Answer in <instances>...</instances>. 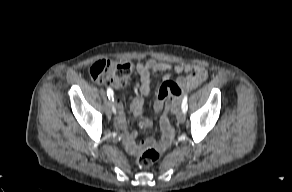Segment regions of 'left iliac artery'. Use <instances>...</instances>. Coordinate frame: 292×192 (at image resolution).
I'll use <instances>...</instances> for the list:
<instances>
[{"mask_svg":"<svg viewBox=\"0 0 292 192\" xmlns=\"http://www.w3.org/2000/svg\"><path fill=\"white\" fill-rule=\"evenodd\" d=\"M187 98H188V96H187V94L184 96V98H183V101H182V111L184 112V113H186V111H187V108H188V105H187Z\"/></svg>","mask_w":292,"mask_h":192,"instance_id":"44dca946","label":"left iliac artery"}]
</instances>
